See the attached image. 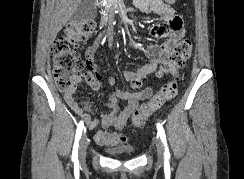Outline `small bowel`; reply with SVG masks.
I'll use <instances>...</instances> for the list:
<instances>
[{"instance_id":"small-bowel-1","label":"small bowel","mask_w":244,"mask_h":179,"mask_svg":"<svg viewBox=\"0 0 244 179\" xmlns=\"http://www.w3.org/2000/svg\"><path fill=\"white\" fill-rule=\"evenodd\" d=\"M135 6L142 13H153L161 17V22L155 23L150 27L149 34L153 38H161L164 41L160 44L152 43L146 47L145 54L149 58V61L139 66L136 70H125L123 77L126 80L143 79L151 73L160 70L164 61L169 57L172 48L183 36L182 18L166 2L162 0H137ZM102 45V36H97L87 47L85 56L89 63H91ZM99 64L102 67L106 66L105 61L101 57L99 58ZM90 68L93 69V66ZM109 83L110 85H115L116 79L114 76L110 78ZM76 90L77 84L75 89L69 88L64 91V101L69 108L83 118L90 129L101 124L106 129H115L117 131L125 127L129 116L138 106L139 102L152 94V89L149 86L136 93H130L117 88L115 95L117 98L127 101L126 107L119 114L102 112L100 120H96L92 118L90 112H85V110H89L90 103L88 101L80 102L76 99ZM126 140L124 134L117 132L98 131L95 134V141L104 146L117 145L126 142Z\"/></svg>"}]
</instances>
